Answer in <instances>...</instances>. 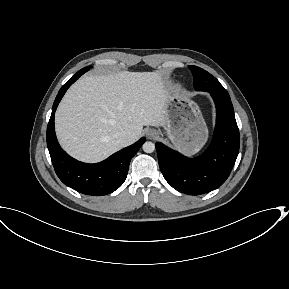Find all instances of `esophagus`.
I'll list each match as a JSON object with an SVG mask.
<instances>
[{
	"mask_svg": "<svg viewBox=\"0 0 289 289\" xmlns=\"http://www.w3.org/2000/svg\"><path fill=\"white\" fill-rule=\"evenodd\" d=\"M146 136H147L148 139H155V138H157L158 133L155 130H153V129H149L146 132Z\"/></svg>",
	"mask_w": 289,
	"mask_h": 289,
	"instance_id": "esophagus-1",
	"label": "esophagus"
}]
</instances>
